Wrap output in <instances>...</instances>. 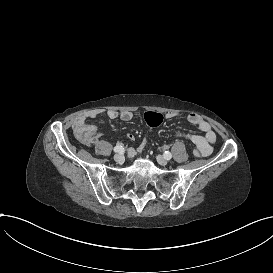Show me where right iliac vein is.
Segmentation results:
<instances>
[{
  "mask_svg": "<svg viewBox=\"0 0 273 273\" xmlns=\"http://www.w3.org/2000/svg\"><path fill=\"white\" fill-rule=\"evenodd\" d=\"M114 161L117 163H122L124 161V156L122 154H115Z\"/></svg>",
  "mask_w": 273,
  "mask_h": 273,
  "instance_id": "63e3f726",
  "label": "right iliac vein"
}]
</instances>
